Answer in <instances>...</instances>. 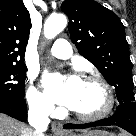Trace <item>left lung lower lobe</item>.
I'll return each instance as SVG.
<instances>
[{
    "instance_id": "obj_1",
    "label": "left lung lower lobe",
    "mask_w": 136,
    "mask_h": 136,
    "mask_svg": "<svg viewBox=\"0 0 136 136\" xmlns=\"http://www.w3.org/2000/svg\"><path fill=\"white\" fill-rule=\"evenodd\" d=\"M116 125L136 135V102L120 104L113 116L87 124H66L65 129H83L94 126Z\"/></svg>"
}]
</instances>
